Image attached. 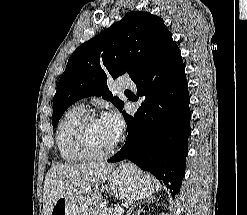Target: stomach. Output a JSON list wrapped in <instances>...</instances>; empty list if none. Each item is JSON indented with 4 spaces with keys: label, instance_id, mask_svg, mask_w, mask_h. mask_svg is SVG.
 <instances>
[{
    "label": "stomach",
    "instance_id": "obj_1",
    "mask_svg": "<svg viewBox=\"0 0 247 215\" xmlns=\"http://www.w3.org/2000/svg\"><path fill=\"white\" fill-rule=\"evenodd\" d=\"M106 180L105 189L120 200L148 198L154 191L150 177L129 164L114 168ZM101 200L97 189L82 196H62L55 202L50 215H87L88 207L99 204Z\"/></svg>",
    "mask_w": 247,
    "mask_h": 215
}]
</instances>
